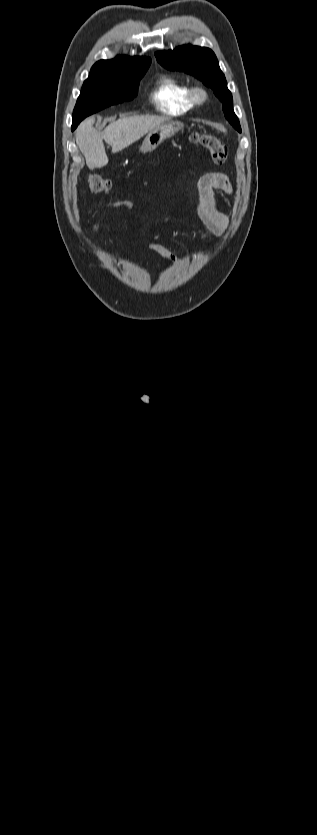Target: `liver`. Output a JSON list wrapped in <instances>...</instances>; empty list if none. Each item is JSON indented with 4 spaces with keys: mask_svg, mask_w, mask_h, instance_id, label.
<instances>
[{
    "mask_svg": "<svg viewBox=\"0 0 317 835\" xmlns=\"http://www.w3.org/2000/svg\"><path fill=\"white\" fill-rule=\"evenodd\" d=\"M166 118L154 116H128L112 121L103 132L94 127V117L84 120L76 130V144L84 154L88 168H102L108 164L103 140L117 153L147 134Z\"/></svg>",
    "mask_w": 317,
    "mask_h": 835,
    "instance_id": "obj_1",
    "label": "liver"
}]
</instances>
